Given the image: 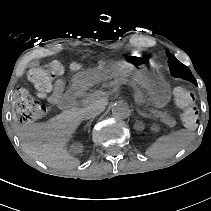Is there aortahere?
<instances>
[{"instance_id": "aorta-1", "label": "aorta", "mask_w": 211, "mask_h": 211, "mask_svg": "<svg viewBox=\"0 0 211 211\" xmlns=\"http://www.w3.org/2000/svg\"><path fill=\"white\" fill-rule=\"evenodd\" d=\"M130 108L127 103L118 101L112 106V114L115 118L125 119L130 116Z\"/></svg>"}]
</instances>
